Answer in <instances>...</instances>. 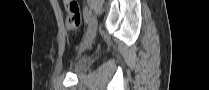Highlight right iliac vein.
I'll list each match as a JSON object with an SVG mask.
<instances>
[{
  "instance_id": "obj_1",
  "label": "right iliac vein",
  "mask_w": 209,
  "mask_h": 90,
  "mask_svg": "<svg viewBox=\"0 0 209 90\" xmlns=\"http://www.w3.org/2000/svg\"><path fill=\"white\" fill-rule=\"evenodd\" d=\"M96 31H97V19L95 16H92L89 21L88 30L86 32L85 38L81 44L80 52L84 51L86 48H88L91 45V43L95 38Z\"/></svg>"
}]
</instances>
